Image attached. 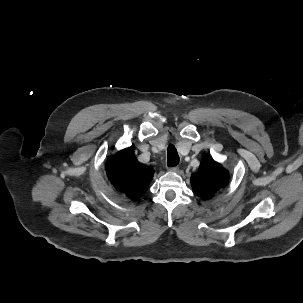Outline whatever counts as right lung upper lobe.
Masks as SVG:
<instances>
[{"instance_id": "obj_1", "label": "right lung upper lobe", "mask_w": 303, "mask_h": 303, "mask_svg": "<svg viewBox=\"0 0 303 303\" xmlns=\"http://www.w3.org/2000/svg\"><path fill=\"white\" fill-rule=\"evenodd\" d=\"M106 172L114 187L132 200L145 193L154 175V170L139 163L129 149L109 157Z\"/></svg>"}]
</instances>
